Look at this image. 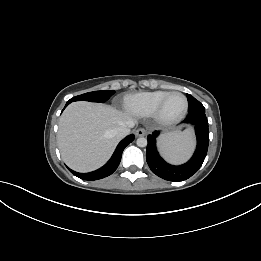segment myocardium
I'll return each mask as SVG.
<instances>
[{
    "label": "myocardium",
    "instance_id": "1",
    "mask_svg": "<svg viewBox=\"0 0 261 261\" xmlns=\"http://www.w3.org/2000/svg\"><path fill=\"white\" fill-rule=\"evenodd\" d=\"M175 94L182 96V98L184 99V108H183L182 112L179 115H177L176 117L168 118V117L164 116L163 108H164V105H165V102L167 101V99L170 96L175 95ZM188 106H189L188 99L183 93H181L179 91L169 92L159 102V104L155 110V113H154V118L161 125H164V126L174 125V124L180 122L186 116L187 111H188Z\"/></svg>",
    "mask_w": 261,
    "mask_h": 261
}]
</instances>
